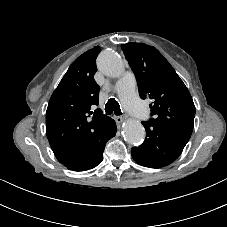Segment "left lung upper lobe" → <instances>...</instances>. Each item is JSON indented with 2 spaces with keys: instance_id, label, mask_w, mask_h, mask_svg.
<instances>
[{
  "instance_id": "5c2ea615",
  "label": "left lung upper lobe",
  "mask_w": 227,
  "mask_h": 227,
  "mask_svg": "<svg viewBox=\"0 0 227 227\" xmlns=\"http://www.w3.org/2000/svg\"><path fill=\"white\" fill-rule=\"evenodd\" d=\"M122 49L135 73L140 97L151 100L154 118L147 122L190 139L195 106L173 67L153 46L131 42L123 44Z\"/></svg>"
}]
</instances>
